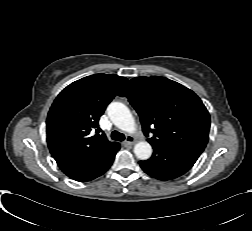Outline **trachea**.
I'll return each mask as SVG.
<instances>
[{
  "mask_svg": "<svg viewBox=\"0 0 252 231\" xmlns=\"http://www.w3.org/2000/svg\"><path fill=\"white\" fill-rule=\"evenodd\" d=\"M111 138L113 140H117V141H124L125 140V135L123 133H119L118 131H113L111 133Z\"/></svg>",
  "mask_w": 252,
  "mask_h": 231,
  "instance_id": "obj_1",
  "label": "trachea"
}]
</instances>
